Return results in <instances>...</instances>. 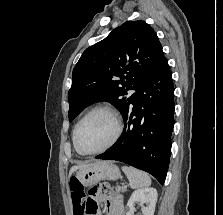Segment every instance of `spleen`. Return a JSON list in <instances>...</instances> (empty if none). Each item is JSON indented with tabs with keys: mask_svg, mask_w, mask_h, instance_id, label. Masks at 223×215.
<instances>
[{
	"mask_svg": "<svg viewBox=\"0 0 223 215\" xmlns=\"http://www.w3.org/2000/svg\"><path fill=\"white\" fill-rule=\"evenodd\" d=\"M124 173H126L131 187L137 189V187H145V185H150L151 179L145 171H141V169H136V167H127V165H123L122 167Z\"/></svg>",
	"mask_w": 223,
	"mask_h": 215,
	"instance_id": "obj_1",
	"label": "spleen"
}]
</instances>
